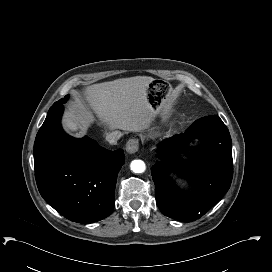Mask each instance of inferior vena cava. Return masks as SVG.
I'll use <instances>...</instances> for the list:
<instances>
[{
    "mask_svg": "<svg viewBox=\"0 0 272 272\" xmlns=\"http://www.w3.org/2000/svg\"><path fill=\"white\" fill-rule=\"evenodd\" d=\"M121 132L120 131H113L106 135V140L108 143L112 145H116L117 141L121 138Z\"/></svg>",
    "mask_w": 272,
    "mask_h": 272,
    "instance_id": "obj_1",
    "label": "inferior vena cava"
}]
</instances>
